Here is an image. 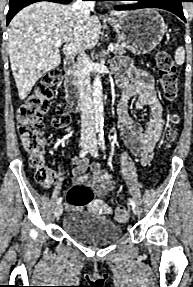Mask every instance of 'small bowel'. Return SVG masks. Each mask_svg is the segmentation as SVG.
<instances>
[{
	"label": "small bowel",
	"instance_id": "obj_1",
	"mask_svg": "<svg viewBox=\"0 0 193 287\" xmlns=\"http://www.w3.org/2000/svg\"><path fill=\"white\" fill-rule=\"evenodd\" d=\"M118 70L128 80L117 104L121 137L129 150L146 165L152 158L163 128V105L154 89L153 77L149 73L132 66L127 60L118 65ZM131 98H136L137 111L148 110L150 118L146 123H140L129 112L128 101ZM67 116L70 118L69 114ZM73 159L76 162V166L71 170L74 184H85L100 197L115 188L112 173L103 169L100 163L89 164L86 159Z\"/></svg>",
	"mask_w": 193,
	"mask_h": 287
}]
</instances>
